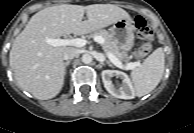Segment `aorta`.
<instances>
[{"label":"aorta","mask_w":194,"mask_h":133,"mask_svg":"<svg viewBox=\"0 0 194 133\" xmlns=\"http://www.w3.org/2000/svg\"><path fill=\"white\" fill-rule=\"evenodd\" d=\"M82 62L84 63V64H90L91 62H92V56L90 55V54H84L83 56H82Z\"/></svg>","instance_id":"1"}]
</instances>
